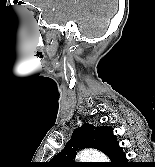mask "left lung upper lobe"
Wrapping results in <instances>:
<instances>
[{"label":"left lung upper lobe","instance_id":"left-lung-upper-lobe-1","mask_svg":"<svg viewBox=\"0 0 155 167\" xmlns=\"http://www.w3.org/2000/svg\"><path fill=\"white\" fill-rule=\"evenodd\" d=\"M117 146L112 128L84 123L74 130L65 148L47 163V167H85L84 163L72 161L77 150L95 148L110 157Z\"/></svg>","mask_w":155,"mask_h":167}]
</instances>
